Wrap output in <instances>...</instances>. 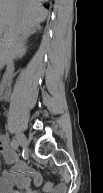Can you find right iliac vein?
Wrapping results in <instances>:
<instances>
[{"label": "right iliac vein", "mask_w": 103, "mask_h": 193, "mask_svg": "<svg viewBox=\"0 0 103 193\" xmlns=\"http://www.w3.org/2000/svg\"><path fill=\"white\" fill-rule=\"evenodd\" d=\"M17 141L19 142V144L23 149H27L28 142L22 133H17Z\"/></svg>", "instance_id": "right-iliac-vein-1"}]
</instances>
